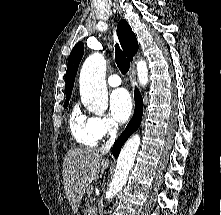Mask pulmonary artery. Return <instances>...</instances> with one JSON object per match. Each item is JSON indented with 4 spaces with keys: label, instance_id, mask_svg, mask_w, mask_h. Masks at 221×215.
Here are the masks:
<instances>
[{
    "label": "pulmonary artery",
    "instance_id": "obj_1",
    "mask_svg": "<svg viewBox=\"0 0 221 215\" xmlns=\"http://www.w3.org/2000/svg\"><path fill=\"white\" fill-rule=\"evenodd\" d=\"M107 82L110 86L117 87L122 83V80L117 74H112L108 77Z\"/></svg>",
    "mask_w": 221,
    "mask_h": 215
}]
</instances>
